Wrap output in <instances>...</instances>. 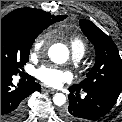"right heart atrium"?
Masks as SVG:
<instances>
[{"instance_id":"obj_1","label":"right heart atrium","mask_w":122,"mask_h":122,"mask_svg":"<svg viewBox=\"0 0 122 122\" xmlns=\"http://www.w3.org/2000/svg\"><path fill=\"white\" fill-rule=\"evenodd\" d=\"M49 41H50V37L48 34L40 35L34 42V45H33L34 52L40 53L44 51L47 48Z\"/></svg>"}]
</instances>
